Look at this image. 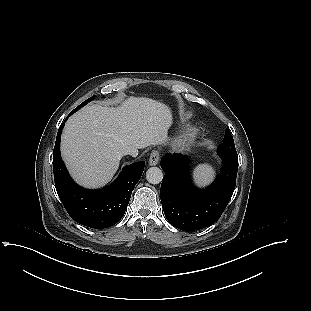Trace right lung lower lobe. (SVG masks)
I'll list each match as a JSON object with an SVG mask.
<instances>
[{
    "mask_svg": "<svg viewBox=\"0 0 311 311\" xmlns=\"http://www.w3.org/2000/svg\"><path fill=\"white\" fill-rule=\"evenodd\" d=\"M75 112L72 111L70 115ZM65 122L58 130L53 151V170L57 193L68 214L90 228H107L116 224L127 209L131 193L140 180L144 161L123 168L117 180L101 190L84 189L71 179L60 155V137Z\"/></svg>",
    "mask_w": 311,
    "mask_h": 311,
    "instance_id": "1",
    "label": "right lung lower lobe"
}]
</instances>
